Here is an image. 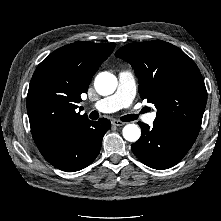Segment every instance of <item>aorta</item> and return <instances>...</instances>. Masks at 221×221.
<instances>
[{
	"instance_id": "762f6f07",
	"label": "aorta",
	"mask_w": 221,
	"mask_h": 221,
	"mask_svg": "<svg viewBox=\"0 0 221 221\" xmlns=\"http://www.w3.org/2000/svg\"><path fill=\"white\" fill-rule=\"evenodd\" d=\"M95 90L102 96L114 93L117 87V78L109 72L99 73L94 81ZM123 137L129 142H136L141 136V129L135 124L124 126Z\"/></svg>"
}]
</instances>
